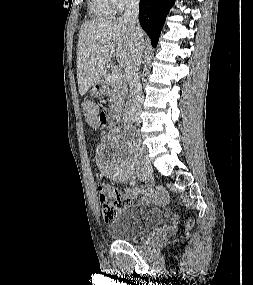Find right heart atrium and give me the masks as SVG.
<instances>
[{"instance_id":"d8ad5b80","label":"right heart atrium","mask_w":253,"mask_h":285,"mask_svg":"<svg viewBox=\"0 0 253 285\" xmlns=\"http://www.w3.org/2000/svg\"><path fill=\"white\" fill-rule=\"evenodd\" d=\"M116 10H124L128 7L136 5L140 0H111Z\"/></svg>"}]
</instances>
